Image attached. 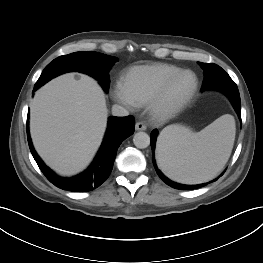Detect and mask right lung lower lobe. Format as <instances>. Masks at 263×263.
<instances>
[{
  "instance_id": "98d812e1",
  "label": "right lung lower lobe",
  "mask_w": 263,
  "mask_h": 263,
  "mask_svg": "<svg viewBox=\"0 0 263 263\" xmlns=\"http://www.w3.org/2000/svg\"><path fill=\"white\" fill-rule=\"evenodd\" d=\"M42 85L36 82L33 92ZM134 128L135 121L131 116L110 117L104 141L93 163L85 172L75 177L62 178L51 171L35 152L30 139L27 118L28 143L36 163L51 183L67 191H91L100 186L112 171L118 147L123 140L134 133Z\"/></svg>"
}]
</instances>
